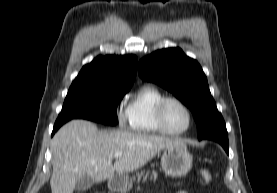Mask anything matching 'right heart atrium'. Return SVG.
<instances>
[{
  "label": "right heart atrium",
  "mask_w": 277,
  "mask_h": 193,
  "mask_svg": "<svg viewBox=\"0 0 277 193\" xmlns=\"http://www.w3.org/2000/svg\"><path fill=\"white\" fill-rule=\"evenodd\" d=\"M117 120H118V124L121 127H124L126 125V122H127V115H126V113H124L122 111H119L117 113Z\"/></svg>",
  "instance_id": "obj_1"
}]
</instances>
